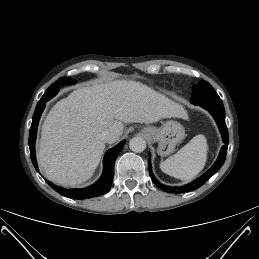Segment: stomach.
<instances>
[{
  "mask_svg": "<svg viewBox=\"0 0 259 259\" xmlns=\"http://www.w3.org/2000/svg\"><path fill=\"white\" fill-rule=\"evenodd\" d=\"M142 131L158 143V153L161 156L170 155L185 138L184 127L174 120L164 122L160 128L147 126Z\"/></svg>",
  "mask_w": 259,
  "mask_h": 259,
  "instance_id": "stomach-1",
  "label": "stomach"
}]
</instances>
